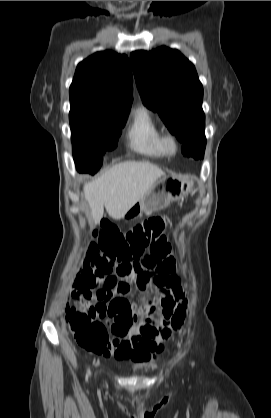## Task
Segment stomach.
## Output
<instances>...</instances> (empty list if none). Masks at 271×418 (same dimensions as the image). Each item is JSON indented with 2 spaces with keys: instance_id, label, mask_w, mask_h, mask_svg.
<instances>
[{
  "instance_id": "obj_1",
  "label": "stomach",
  "mask_w": 271,
  "mask_h": 418,
  "mask_svg": "<svg viewBox=\"0 0 271 418\" xmlns=\"http://www.w3.org/2000/svg\"><path fill=\"white\" fill-rule=\"evenodd\" d=\"M194 177L162 176L151 189L122 216L131 220L141 214H151L166 208L171 202L188 195L194 186Z\"/></svg>"
}]
</instances>
